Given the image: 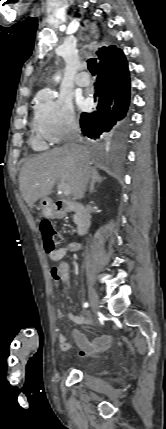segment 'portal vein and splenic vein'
<instances>
[{"label":"portal vein and splenic vein","instance_id":"portal-vein-and-splenic-vein-1","mask_svg":"<svg viewBox=\"0 0 166 429\" xmlns=\"http://www.w3.org/2000/svg\"><path fill=\"white\" fill-rule=\"evenodd\" d=\"M59 189L65 196H69L71 194V189L68 184H62Z\"/></svg>","mask_w":166,"mask_h":429}]
</instances>
